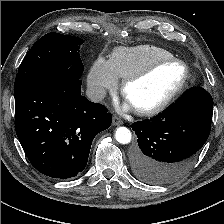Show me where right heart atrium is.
I'll return each mask as SVG.
<instances>
[{"label": "right heart atrium", "mask_w": 224, "mask_h": 224, "mask_svg": "<svg viewBox=\"0 0 224 224\" xmlns=\"http://www.w3.org/2000/svg\"><path fill=\"white\" fill-rule=\"evenodd\" d=\"M118 86V77L113 72L110 62L99 58L91 67L88 75V88L96 100H101L107 91Z\"/></svg>", "instance_id": "d8ad5b80"}]
</instances>
